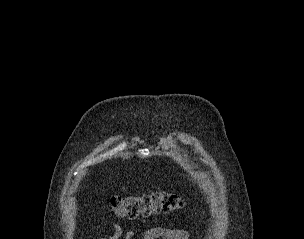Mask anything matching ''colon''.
Here are the masks:
<instances>
[{"label":"colon","instance_id":"colon-1","mask_svg":"<svg viewBox=\"0 0 304 239\" xmlns=\"http://www.w3.org/2000/svg\"><path fill=\"white\" fill-rule=\"evenodd\" d=\"M185 199L171 192L156 191L134 196H115L107 202V207L117 216L136 218L177 211L185 207Z\"/></svg>","mask_w":304,"mask_h":239}]
</instances>
